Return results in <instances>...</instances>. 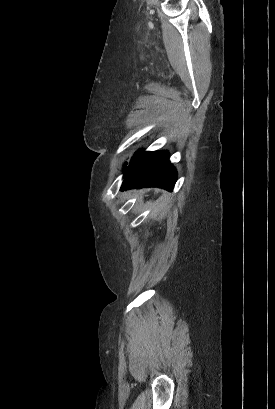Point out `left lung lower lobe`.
I'll return each instance as SVG.
<instances>
[{"mask_svg": "<svg viewBox=\"0 0 275 409\" xmlns=\"http://www.w3.org/2000/svg\"><path fill=\"white\" fill-rule=\"evenodd\" d=\"M121 191L131 188L160 187L172 191L177 172L167 151H138L124 169Z\"/></svg>", "mask_w": 275, "mask_h": 409, "instance_id": "left-lung-lower-lobe-1", "label": "left lung lower lobe"}]
</instances>
